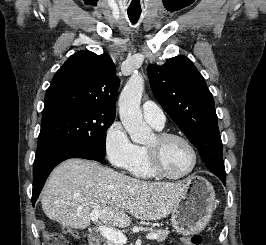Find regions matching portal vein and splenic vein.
Segmentation results:
<instances>
[{"instance_id": "portal-vein-and-splenic-vein-1", "label": "portal vein and splenic vein", "mask_w": 266, "mask_h": 245, "mask_svg": "<svg viewBox=\"0 0 266 245\" xmlns=\"http://www.w3.org/2000/svg\"><path fill=\"white\" fill-rule=\"evenodd\" d=\"M100 217V209H93L90 219L93 221V223H97L98 219ZM100 235L104 237V239H108V241H111V243H116V245H127V237L123 235V233H120V231H114V229H108V227H98ZM157 235L156 233H149L147 235L146 239H156Z\"/></svg>"}]
</instances>
